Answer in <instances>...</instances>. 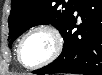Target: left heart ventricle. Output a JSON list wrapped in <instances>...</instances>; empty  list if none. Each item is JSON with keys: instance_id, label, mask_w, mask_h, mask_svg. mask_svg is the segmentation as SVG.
<instances>
[{"instance_id": "obj_1", "label": "left heart ventricle", "mask_w": 102, "mask_h": 75, "mask_svg": "<svg viewBox=\"0 0 102 75\" xmlns=\"http://www.w3.org/2000/svg\"><path fill=\"white\" fill-rule=\"evenodd\" d=\"M54 49L52 36L45 31H37L29 35L22 46V59L25 64L44 60Z\"/></svg>"}]
</instances>
